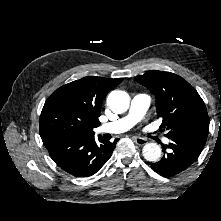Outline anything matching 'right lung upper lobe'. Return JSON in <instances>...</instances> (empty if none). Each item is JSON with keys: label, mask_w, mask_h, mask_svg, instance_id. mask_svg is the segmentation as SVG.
Segmentation results:
<instances>
[{"label": "right lung upper lobe", "mask_w": 221, "mask_h": 221, "mask_svg": "<svg viewBox=\"0 0 221 221\" xmlns=\"http://www.w3.org/2000/svg\"><path fill=\"white\" fill-rule=\"evenodd\" d=\"M123 78L88 76L61 86L46 100L40 116V136L94 134L107 93Z\"/></svg>", "instance_id": "obj_1"}]
</instances>
